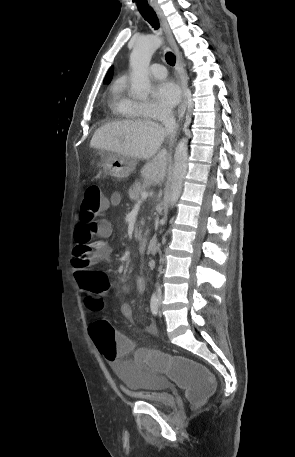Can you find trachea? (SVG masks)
<instances>
[{
  "label": "trachea",
  "instance_id": "3493384b",
  "mask_svg": "<svg viewBox=\"0 0 295 457\" xmlns=\"http://www.w3.org/2000/svg\"><path fill=\"white\" fill-rule=\"evenodd\" d=\"M138 9L142 14L143 18L155 29H159V19L155 13V11L150 8L147 4L145 5H138ZM166 62L170 66H174L176 62V57L172 52H167L165 54Z\"/></svg>",
  "mask_w": 295,
  "mask_h": 457
}]
</instances>
